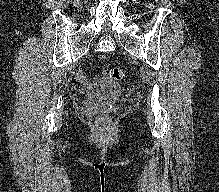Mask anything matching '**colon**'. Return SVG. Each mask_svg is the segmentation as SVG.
Listing matches in <instances>:
<instances>
[{
	"mask_svg": "<svg viewBox=\"0 0 219 192\" xmlns=\"http://www.w3.org/2000/svg\"><path fill=\"white\" fill-rule=\"evenodd\" d=\"M109 77L114 80V81H120L125 77V72L123 69L121 68H111L109 70ZM108 117L106 115H99L96 118V123L100 126V127H104L108 125Z\"/></svg>",
	"mask_w": 219,
	"mask_h": 192,
	"instance_id": "5ec220e1",
	"label": "colon"
}]
</instances>
